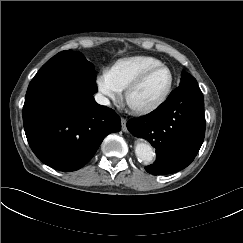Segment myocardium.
Wrapping results in <instances>:
<instances>
[{"label":"myocardium","instance_id":"1","mask_svg":"<svg viewBox=\"0 0 243 243\" xmlns=\"http://www.w3.org/2000/svg\"><path fill=\"white\" fill-rule=\"evenodd\" d=\"M158 69H166L169 73V82L167 85V88L165 89L164 93L154 102L144 105V106H135L131 103L130 101V97L132 95V93L144 82V80L147 78V76L149 74H151L152 72H154L155 70ZM173 85H174V76L173 73L171 71V69L164 65V64H158L152 67H149L147 69H145L144 71H142L125 89V93H124V99L126 104L128 105V107L139 114H146V113H150L156 109H158L160 106H162L167 99L169 98L172 89H173Z\"/></svg>","mask_w":243,"mask_h":243}]
</instances>
